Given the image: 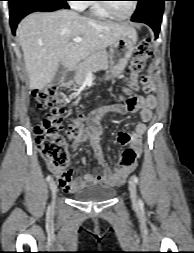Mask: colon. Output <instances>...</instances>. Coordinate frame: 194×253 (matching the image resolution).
Returning a JSON list of instances; mask_svg holds the SVG:
<instances>
[{
  "label": "colon",
  "mask_w": 194,
  "mask_h": 253,
  "mask_svg": "<svg viewBox=\"0 0 194 253\" xmlns=\"http://www.w3.org/2000/svg\"><path fill=\"white\" fill-rule=\"evenodd\" d=\"M151 54L149 39L143 40L137 45L136 54L131 62V82L127 92L137 89L136 77ZM32 97L41 109H49L48 114L35 126L36 143L40 154L49 165L62 170L69 162L67 140H73L80 135L82 115H79L74 124L65 129L60 119L62 109L58 107L60 96L55 87L47 86L34 90ZM136 159L135 151L127 149L122 155L121 165L130 166Z\"/></svg>",
  "instance_id": "1"
}]
</instances>
